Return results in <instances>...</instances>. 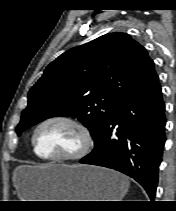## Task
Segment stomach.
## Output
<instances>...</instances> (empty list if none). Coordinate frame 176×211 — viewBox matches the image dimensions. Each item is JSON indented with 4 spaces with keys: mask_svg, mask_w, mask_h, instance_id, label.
Masks as SVG:
<instances>
[{
    "mask_svg": "<svg viewBox=\"0 0 176 211\" xmlns=\"http://www.w3.org/2000/svg\"><path fill=\"white\" fill-rule=\"evenodd\" d=\"M14 185L23 201H121L129 181L103 167L47 164L17 168Z\"/></svg>",
    "mask_w": 176,
    "mask_h": 211,
    "instance_id": "stomach-1",
    "label": "stomach"
}]
</instances>
